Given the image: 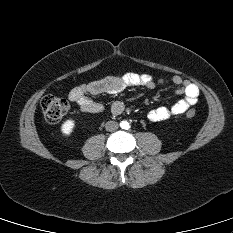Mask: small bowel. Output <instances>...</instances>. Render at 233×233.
<instances>
[{
  "mask_svg": "<svg viewBox=\"0 0 233 233\" xmlns=\"http://www.w3.org/2000/svg\"><path fill=\"white\" fill-rule=\"evenodd\" d=\"M172 83L177 85V94L184 97L168 107H158L148 113V118L151 121H164L171 117L185 113L191 106L196 104L199 96V88L196 84L189 80L183 79L176 75L171 79ZM162 83L160 79L156 81L153 76L149 74L140 73H126L121 76H108L101 80L89 82L87 84L74 87L69 92V100L75 103L81 111L85 113H100L104 106L101 103L93 101L90 97L102 93L116 94L121 92L127 86H143L148 89L155 88L156 84ZM124 110V103L116 101L111 106V112L114 115H119Z\"/></svg>",
  "mask_w": 233,
  "mask_h": 233,
  "instance_id": "small-bowel-1",
  "label": "small bowel"
}]
</instances>
